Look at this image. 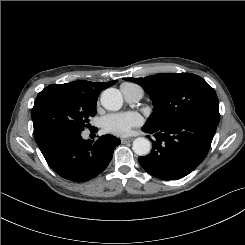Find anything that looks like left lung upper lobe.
Listing matches in <instances>:
<instances>
[{"label":"left lung upper lobe","instance_id":"obj_1","mask_svg":"<svg viewBox=\"0 0 245 245\" xmlns=\"http://www.w3.org/2000/svg\"><path fill=\"white\" fill-rule=\"evenodd\" d=\"M124 80L140 85L153 101V113L144 126L161 127L187 118H202L219 123L217 95L198 75L161 73Z\"/></svg>","mask_w":245,"mask_h":245}]
</instances>
